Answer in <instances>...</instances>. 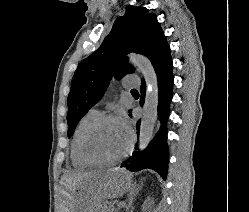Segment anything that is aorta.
<instances>
[{
  "label": "aorta",
  "mask_w": 249,
  "mask_h": 212,
  "mask_svg": "<svg viewBox=\"0 0 249 212\" xmlns=\"http://www.w3.org/2000/svg\"><path fill=\"white\" fill-rule=\"evenodd\" d=\"M129 62L134 64L146 82V96L140 124L139 148L144 150L153 138L158 115V80L152 63L144 56L133 54Z\"/></svg>",
  "instance_id": "762f6f07"
}]
</instances>
